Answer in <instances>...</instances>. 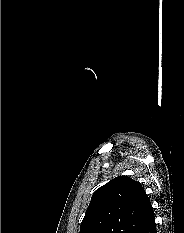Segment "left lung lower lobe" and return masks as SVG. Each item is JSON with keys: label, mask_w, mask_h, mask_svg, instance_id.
Returning <instances> with one entry per match:
<instances>
[{"label": "left lung lower lobe", "mask_w": 184, "mask_h": 233, "mask_svg": "<svg viewBox=\"0 0 184 233\" xmlns=\"http://www.w3.org/2000/svg\"><path fill=\"white\" fill-rule=\"evenodd\" d=\"M142 233H157L153 210L150 214L149 220H148L144 230L142 231Z\"/></svg>", "instance_id": "left-lung-lower-lobe-1"}]
</instances>
